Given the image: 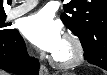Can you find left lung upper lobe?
<instances>
[{
  "label": "left lung upper lobe",
  "mask_w": 107,
  "mask_h": 75,
  "mask_svg": "<svg viewBox=\"0 0 107 75\" xmlns=\"http://www.w3.org/2000/svg\"><path fill=\"white\" fill-rule=\"evenodd\" d=\"M61 20L82 44L88 57L96 47V39L107 43V0H70L64 5Z\"/></svg>",
  "instance_id": "5c2ea615"
}]
</instances>
